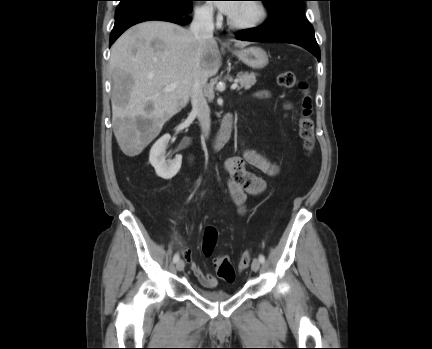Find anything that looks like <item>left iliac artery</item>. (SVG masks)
<instances>
[{
    "mask_svg": "<svg viewBox=\"0 0 432 349\" xmlns=\"http://www.w3.org/2000/svg\"><path fill=\"white\" fill-rule=\"evenodd\" d=\"M259 261H260L261 263H264V262H265V257H264V255H262V254L259 255Z\"/></svg>",
    "mask_w": 432,
    "mask_h": 349,
    "instance_id": "1",
    "label": "left iliac artery"
}]
</instances>
